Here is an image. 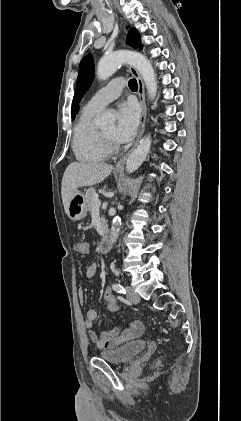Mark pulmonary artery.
Instances as JSON below:
<instances>
[{"label":"pulmonary artery","mask_w":241,"mask_h":421,"mask_svg":"<svg viewBox=\"0 0 241 421\" xmlns=\"http://www.w3.org/2000/svg\"><path fill=\"white\" fill-rule=\"evenodd\" d=\"M124 85V81L121 78L112 80L90 98L87 106L101 110L121 95Z\"/></svg>","instance_id":"e3ab8cb5"}]
</instances>
